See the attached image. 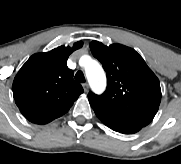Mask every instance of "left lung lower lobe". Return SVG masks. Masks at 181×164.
<instances>
[{
  "mask_svg": "<svg viewBox=\"0 0 181 164\" xmlns=\"http://www.w3.org/2000/svg\"><path fill=\"white\" fill-rule=\"evenodd\" d=\"M97 117L109 128L114 131L124 133V134H133L141 130L144 126L136 124L132 121L117 117L113 114L107 112H98L95 111Z\"/></svg>",
  "mask_w": 181,
  "mask_h": 164,
  "instance_id": "obj_1",
  "label": "left lung lower lobe"
}]
</instances>
